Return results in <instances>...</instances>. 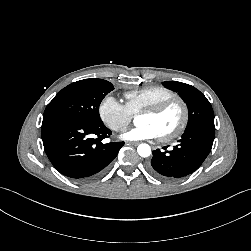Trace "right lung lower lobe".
Instances as JSON below:
<instances>
[{"mask_svg":"<svg viewBox=\"0 0 251 251\" xmlns=\"http://www.w3.org/2000/svg\"><path fill=\"white\" fill-rule=\"evenodd\" d=\"M111 135L102 124L51 119L42 124V140L52 165L63 175L78 181L99 176L117 156L123 142L103 144Z\"/></svg>","mask_w":251,"mask_h":251,"instance_id":"98d812e1","label":"right lung lower lobe"}]
</instances>
